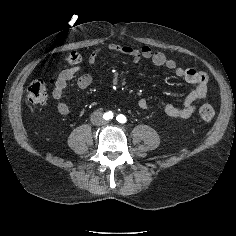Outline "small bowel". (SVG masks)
<instances>
[{
	"mask_svg": "<svg viewBox=\"0 0 236 236\" xmlns=\"http://www.w3.org/2000/svg\"><path fill=\"white\" fill-rule=\"evenodd\" d=\"M104 49L99 48L90 53L88 61L90 64L95 63L98 56ZM106 51L120 53L130 57L134 62H139L143 59L150 60L155 66L165 67L174 71L176 76L183 78L187 83L193 84L194 89L185 97L183 102L179 105L171 103H165L162 105V111L170 117L174 118H189L195 110L196 104L205 98L208 90V76L201 71L192 68L178 67L173 59L168 58L164 53L159 51H153L149 46H143L141 48H135L129 45L109 44L105 48ZM79 67L67 68L62 70L56 78L55 86L52 92V96L56 101L57 110L61 115H68L70 113V107L64 101V90L67 87L69 81H71ZM93 82V77L90 74H83L77 79V85L80 89L88 88ZM138 106L147 110L150 108L149 102L145 98H141L138 101Z\"/></svg>",
	"mask_w": 236,
	"mask_h": 236,
	"instance_id": "1",
	"label": "small bowel"
}]
</instances>
